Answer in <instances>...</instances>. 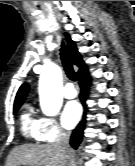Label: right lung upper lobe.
I'll return each mask as SVG.
<instances>
[{
    "instance_id": "1",
    "label": "right lung upper lobe",
    "mask_w": 135,
    "mask_h": 166,
    "mask_svg": "<svg viewBox=\"0 0 135 166\" xmlns=\"http://www.w3.org/2000/svg\"><path fill=\"white\" fill-rule=\"evenodd\" d=\"M65 40L67 42V49L70 52V56L72 57V61L75 65H77L80 69L85 66L81 54L78 52L76 48V44L74 41L71 40L68 33H64ZM29 91V85L23 84L16 95L15 101H14V107L21 106L25 100V97Z\"/></svg>"
}]
</instances>
